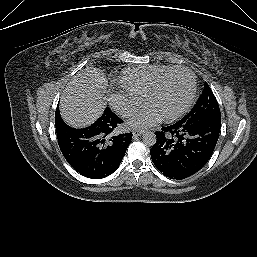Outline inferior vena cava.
<instances>
[{"instance_id": "602c4592", "label": "inferior vena cava", "mask_w": 257, "mask_h": 257, "mask_svg": "<svg viewBox=\"0 0 257 257\" xmlns=\"http://www.w3.org/2000/svg\"><path fill=\"white\" fill-rule=\"evenodd\" d=\"M130 113H131V111H128V112H127V115H130Z\"/></svg>"}]
</instances>
